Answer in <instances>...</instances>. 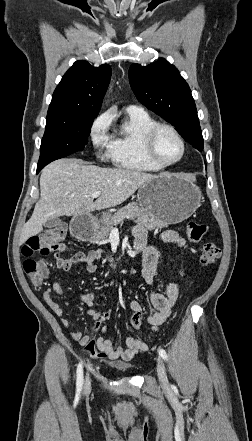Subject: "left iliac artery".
Here are the masks:
<instances>
[{"label":"left iliac artery","mask_w":252,"mask_h":441,"mask_svg":"<svg viewBox=\"0 0 252 441\" xmlns=\"http://www.w3.org/2000/svg\"><path fill=\"white\" fill-rule=\"evenodd\" d=\"M158 353L164 360H167V353L164 349H159Z\"/></svg>","instance_id":"44dca946"}]
</instances>
